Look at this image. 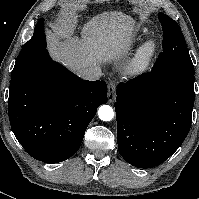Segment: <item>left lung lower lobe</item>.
Segmentation results:
<instances>
[{
	"label": "left lung lower lobe",
	"instance_id": "1",
	"mask_svg": "<svg viewBox=\"0 0 199 199\" xmlns=\"http://www.w3.org/2000/svg\"><path fill=\"white\" fill-rule=\"evenodd\" d=\"M116 95L121 156L138 168L163 163L181 146L190 130L194 73L152 69L119 83Z\"/></svg>",
	"mask_w": 199,
	"mask_h": 199
}]
</instances>
